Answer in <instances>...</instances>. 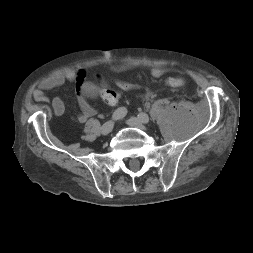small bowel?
Here are the masks:
<instances>
[{
  "instance_id": "small-bowel-1",
  "label": "small bowel",
  "mask_w": 253,
  "mask_h": 253,
  "mask_svg": "<svg viewBox=\"0 0 253 253\" xmlns=\"http://www.w3.org/2000/svg\"><path fill=\"white\" fill-rule=\"evenodd\" d=\"M137 67L134 63H126L121 65H116L111 67L114 73L120 74ZM167 73V69L164 67H157L152 69L151 75L153 78H160ZM85 80V72L80 70L78 72L67 71L59 74H55L43 79L36 90L33 92V98L36 102L48 103L49 99L46 95V91L53 88L59 87L66 82H73L76 84L77 88V100L80 108V113L76 116V120L79 123H85L89 118L96 114L95 109L86 101L82 94V84ZM52 110L55 116H60L64 113L65 105L64 102L56 97L52 101Z\"/></svg>"
}]
</instances>
